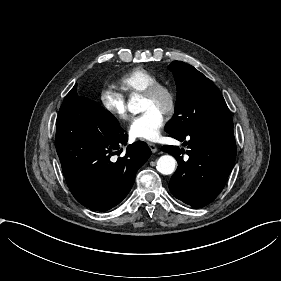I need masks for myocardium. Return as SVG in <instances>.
I'll return each instance as SVG.
<instances>
[{"mask_svg":"<svg viewBox=\"0 0 281 281\" xmlns=\"http://www.w3.org/2000/svg\"><path fill=\"white\" fill-rule=\"evenodd\" d=\"M143 97L154 104L160 103L161 112L165 116L170 115L175 110V95L169 87L163 84L158 83L151 86L143 92Z\"/></svg>","mask_w":281,"mask_h":281,"instance_id":"f54148a6","label":"myocardium"}]
</instances>
